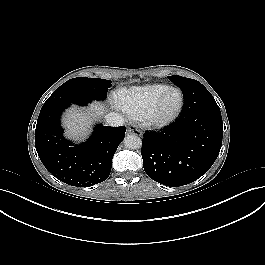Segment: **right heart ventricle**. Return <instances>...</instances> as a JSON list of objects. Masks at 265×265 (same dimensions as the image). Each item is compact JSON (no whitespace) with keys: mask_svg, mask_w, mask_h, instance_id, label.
<instances>
[{"mask_svg":"<svg viewBox=\"0 0 265 265\" xmlns=\"http://www.w3.org/2000/svg\"><path fill=\"white\" fill-rule=\"evenodd\" d=\"M168 87L163 84H151L122 89L117 93V104L132 119L142 121L154 101Z\"/></svg>","mask_w":265,"mask_h":265,"instance_id":"e07e8e85","label":"right heart ventricle"}]
</instances>
